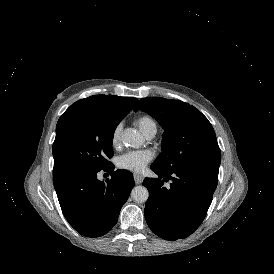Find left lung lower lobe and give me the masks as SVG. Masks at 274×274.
<instances>
[{
	"mask_svg": "<svg viewBox=\"0 0 274 274\" xmlns=\"http://www.w3.org/2000/svg\"><path fill=\"white\" fill-rule=\"evenodd\" d=\"M158 178H145L149 191L144 209L150 229L159 237L174 241L192 234L202 223L218 183V170L186 167L163 170L151 165ZM163 178V180H162ZM170 180V187L163 182Z\"/></svg>",
	"mask_w": 274,
	"mask_h": 274,
	"instance_id": "0a47b994",
	"label": "left lung lower lobe"
}]
</instances>
